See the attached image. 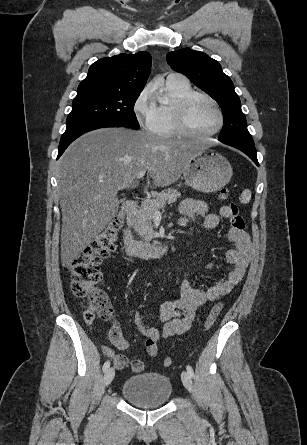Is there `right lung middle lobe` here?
<instances>
[{
    "instance_id": "right-lung-middle-lobe-1",
    "label": "right lung middle lobe",
    "mask_w": 307,
    "mask_h": 445,
    "mask_svg": "<svg viewBox=\"0 0 307 445\" xmlns=\"http://www.w3.org/2000/svg\"><path fill=\"white\" fill-rule=\"evenodd\" d=\"M139 95L91 94L76 96L67 117V128L103 122L139 129L134 104Z\"/></svg>"
}]
</instances>
